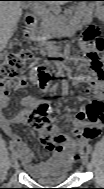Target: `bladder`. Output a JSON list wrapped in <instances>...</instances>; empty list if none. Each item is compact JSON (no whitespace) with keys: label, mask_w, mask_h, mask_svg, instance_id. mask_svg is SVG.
Masks as SVG:
<instances>
[{"label":"bladder","mask_w":104,"mask_h":189,"mask_svg":"<svg viewBox=\"0 0 104 189\" xmlns=\"http://www.w3.org/2000/svg\"><path fill=\"white\" fill-rule=\"evenodd\" d=\"M68 170L64 171L62 168L54 167L48 169L43 175H32V178L42 184H57L65 181L68 177Z\"/></svg>","instance_id":"31cf9c89"}]
</instances>
